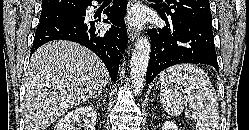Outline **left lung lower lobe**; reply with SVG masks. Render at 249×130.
Masks as SVG:
<instances>
[{
  "label": "left lung lower lobe",
  "mask_w": 249,
  "mask_h": 130,
  "mask_svg": "<svg viewBox=\"0 0 249 130\" xmlns=\"http://www.w3.org/2000/svg\"><path fill=\"white\" fill-rule=\"evenodd\" d=\"M159 15L167 27L150 31L151 54L146 84L164 69L181 63L207 64L218 71L212 27L192 20Z\"/></svg>",
  "instance_id": "obj_1"
}]
</instances>
